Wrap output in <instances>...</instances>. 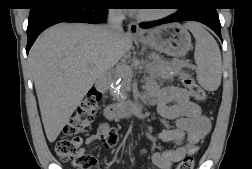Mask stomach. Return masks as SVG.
Segmentation results:
<instances>
[{"label": "stomach", "instance_id": "0dacf381", "mask_svg": "<svg viewBox=\"0 0 252 169\" xmlns=\"http://www.w3.org/2000/svg\"><path fill=\"white\" fill-rule=\"evenodd\" d=\"M136 39L156 51L176 57L185 55L192 47L189 32L178 23L159 26Z\"/></svg>", "mask_w": 252, "mask_h": 169}]
</instances>
